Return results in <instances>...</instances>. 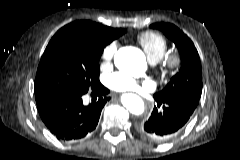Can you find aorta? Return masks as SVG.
I'll return each instance as SVG.
<instances>
[{
  "label": "aorta",
  "mask_w": 240,
  "mask_h": 160,
  "mask_svg": "<svg viewBox=\"0 0 240 160\" xmlns=\"http://www.w3.org/2000/svg\"><path fill=\"white\" fill-rule=\"evenodd\" d=\"M114 63L118 69L128 72H140L145 68L144 54L137 48H120L114 56ZM123 106L133 114H142L144 103L136 94L127 93L121 97Z\"/></svg>",
  "instance_id": "obj_1"
}]
</instances>
